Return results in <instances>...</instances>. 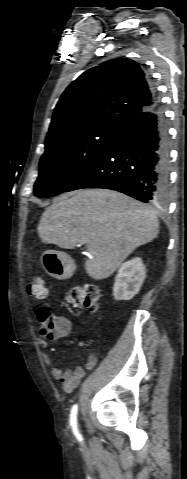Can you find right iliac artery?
<instances>
[{
    "mask_svg": "<svg viewBox=\"0 0 187 479\" xmlns=\"http://www.w3.org/2000/svg\"><path fill=\"white\" fill-rule=\"evenodd\" d=\"M77 413H78V406L75 404L72 407L71 414H70V425L75 435H79L78 427H77Z\"/></svg>",
    "mask_w": 187,
    "mask_h": 479,
    "instance_id": "right-iliac-artery-1",
    "label": "right iliac artery"
}]
</instances>
